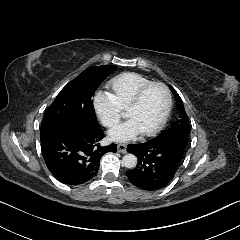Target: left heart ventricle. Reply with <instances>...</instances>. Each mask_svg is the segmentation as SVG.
I'll return each mask as SVG.
<instances>
[{
    "instance_id": "b2bd125f",
    "label": "left heart ventricle",
    "mask_w": 240,
    "mask_h": 240,
    "mask_svg": "<svg viewBox=\"0 0 240 240\" xmlns=\"http://www.w3.org/2000/svg\"><path fill=\"white\" fill-rule=\"evenodd\" d=\"M165 96L160 87H152L144 94L140 105L126 115L142 131L154 128L162 117Z\"/></svg>"
}]
</instances>
